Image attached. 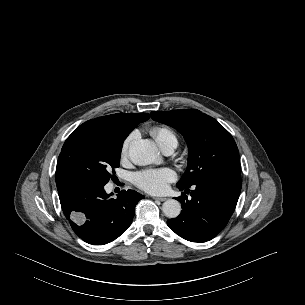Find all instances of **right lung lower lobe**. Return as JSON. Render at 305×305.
<instances>
[{"instance_id":"right-lung-lower-lobe-1","label":"right lung lower lobe","mask_w":305,"mask_h":305,"mask_svg":"<svg viewBox=\"0 0 305 305\" xmlns=\"http://www.w3.org/2000/svg\"><path fill=\"white\" fill-rule=\"evenodd\" d=\"M62 210L73 231L85 242L104 245L130 226L135 206L144 196L134 190L121 191L110 198L102 185L76 181L57 183Z\"/></svg>"}]
</instances>
